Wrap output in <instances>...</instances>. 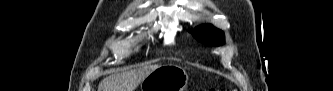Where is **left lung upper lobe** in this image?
Returning a JSON list of instances; mask_svg holds the SVG:
<instances>
[{
    "label": "left lung upper lobe",
    "mask_w": 333,
    "mask_h": 91,
    "mask_svg": "<svg viewBox=\"0 0 333 91\" xmlns=\"http://www.w3.org/2000/svg\"><path fill=\"white\" fill-rule=\"evenodd\" d=\"M194 37L207 45H222L225 41L223 31L212 25H202L194 30Z\"/></svg>",
    "instance_id": "left-lung-upper-lobe-1"
}]
</instances>
